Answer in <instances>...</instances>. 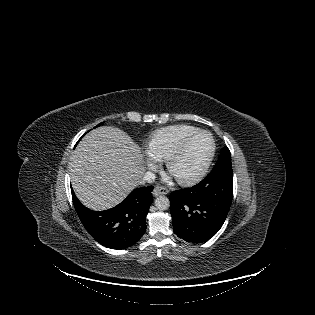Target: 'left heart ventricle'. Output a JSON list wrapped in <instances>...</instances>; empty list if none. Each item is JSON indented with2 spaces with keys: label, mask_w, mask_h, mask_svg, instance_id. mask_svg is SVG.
<instances>
[{
  "label": "left heart ventricle",
  "mask_w": 315,
  "mask_h": 315,
  "mask_svg": "<svg viewBox=\"0 0 315 315\" xmlns=\"http://www.w3.org/2000/svg\"><path fill=\"white\" fill-rule=\"evenodd\" d=\"M210 139L206 134L195 136L187 145L183 154L173 164L176 176H188L198 171L204 164L209 151Z\"/></svg>",
  "instance_id": "b2bd125f"
}]
</instances>
